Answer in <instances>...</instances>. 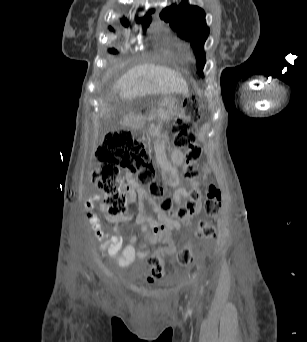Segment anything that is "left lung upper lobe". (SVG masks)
Returning <instances> with one entry per match:
<instances>
[{"instance_id": "1", "label": "left lung upper lobe", "mask_w": 307, "mask_h": 342, "mask_svg": "<svg viewBox=\"0 0 307 342\" xmlns=\"http://www.w3.org/2000/svg\"><path fill=\"white\" fill-rule=\"evenodd\" d=\"M186 1L183 0L178 6L171 5L165 8L160 16L169 22L180 37L191 42L197 58L198 71L202 73L206 61L203 46L209 35V28L206 25L205 12L197 6L188 5Z\"/></svg>"}]
</instances>
